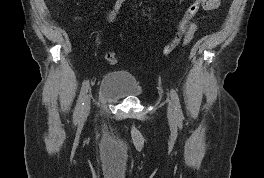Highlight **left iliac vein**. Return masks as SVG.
I'll return each instance as SVG.
<instances>
[{"label":"left iliac vein","mask_w":264,"mask_h":178,"mask_svg":"<svg viewBox=\"0 0 264 178\" xmlns=\"http://www.w3.org/2000/svg\"><path fill=\"white\" fill-rule=\"evenodd\" d=\"M167 113H168V119L170 121L171 124H175L176 122V113L174 110V105L171 101L168 102V109H167Z\"/></svg>","instance_id":"4c4485c4"}]
</instances>
